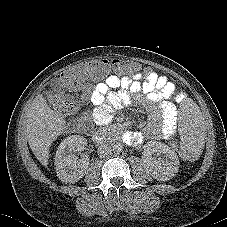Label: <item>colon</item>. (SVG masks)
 Here are the masks:
<instances>
[{
    "instance_id": "colon-1",
    "label": "colon",
    "mask_w": 227,
    "mask_h": 227,
    "mask_svg": "<svg viewBox=\"0 0 227 227\" xmlns=\"http://www.w3.org/2000/svg\"><path fill=\"white\" fill-rule=\"evenodd\" d=\"M123 72L129 76L137 75L138 77H145L148 75V67L146 65H139L135 61L123 63L117 59L111 60L106 58L79 65L68 70L62 75L60 83L69 90H81L87 83L93 84L96 81H100L105 75L115 76ZM47 101L56 111L63 114L77 115L80 112L79 104L75 99L67 97L56 90H50L48 92ZM85 122L86 117L79 114L76 118L77 128H84ZM167 140L178 159L189 163L196 162V155L188 154L181 149V145L174 132L167 134Z\"/></svg>"
}]
</instances>
